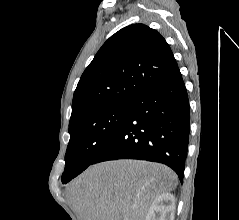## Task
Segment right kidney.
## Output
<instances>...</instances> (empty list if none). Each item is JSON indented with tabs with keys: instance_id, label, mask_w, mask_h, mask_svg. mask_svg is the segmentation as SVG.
Listing matches in <instances>:
<instances>
[{
	"instance_id": "1",
	"label": "right kidney",
	"mask_w": 239,
	"mask_h": 220,
	"mask_svg": "<svg viewBox=\"0 0 239 220\" xmlns=\"http://www.w3.org/2000/svg\"><path fill=\"white\" fill-rule=\"evenodd\" d=\"M174 214V195L163 193L153 201L145 220H174Z\"/></svg>"
}]
</instances>
